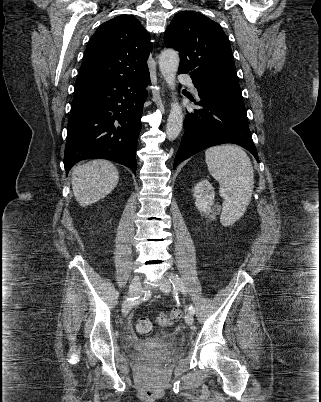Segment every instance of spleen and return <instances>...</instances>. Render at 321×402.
Returning a JSON list of instances; mask_svg holds the SVG:
<instances>
[{"mask_svg": "<svg viewBox=\"0 0 321 402\" xmlns=\"http://www.w3.org/2000/svg\"><path fill=\"white\" fill-rule=\"evenodd\" d=\"M210 174L219 182L224 199L221 222L230 225L245 212L254 188V171L245 151L235 145H220L205 151Z\"/></svg>", "mask_w": 321, "mask_h": 402, "instance_id": "obj_1", "label": "spleen"}]
</instances>
